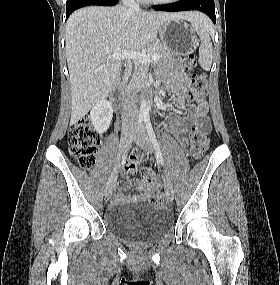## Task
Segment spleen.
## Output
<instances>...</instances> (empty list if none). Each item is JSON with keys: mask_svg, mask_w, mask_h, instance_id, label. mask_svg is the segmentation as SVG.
<instances>
[{"mask_svg": "<svg viewBox=\"0 0 280 285\" xmlns=\"http://www.w3.org/2000/svg\"><path fill=\"white\" fill-rule=\"evenodd\" d=\"M192 26L201 40L199 47V64L204 70L209 71L212 65L213 57V47L210 38V33L213 31V26L206 17H202L194 21Z\"/></svg>", "mask_w": 280, "mask_h": 285, "instance_id": "obj_1", "label": "spleen"}]
</instances>
